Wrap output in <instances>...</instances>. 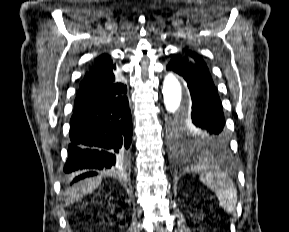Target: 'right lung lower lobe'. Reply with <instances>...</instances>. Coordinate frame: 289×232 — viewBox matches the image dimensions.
I'll list each match as a JSON object with an SVG mask.
<instances>
[{
    "label": "right lung lower lobe",
    "instance_id": "98d812e1",
    "mask_svg": "<svg viewBox=\"0 0 289 232\" xmlns=\"http://www.w3.org/2000/svg\"><path fill=\"white\" fill-rule=\"evenodd\" d=\"M127 90L91 104L74 106L70 120L69 157L64 171L73 182L115 168L132 141V118Z\"/></svg>",
    "mask_w": 289,
    "mask_h": 232
}]
</instances>
